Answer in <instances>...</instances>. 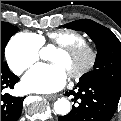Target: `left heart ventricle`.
<instances>
[{"label": "left heart ventricle", "mask_w": 121, "mask_h": 121, "mask_svg": "<svg viewBox=\"0 0 121 121\" xmlns=\"http://www.w3.org/2000/svg\"><path fill=\"white\" fill-rule=\"evenodd\" d=\"M50 61L53 64L61 67L67 75L73 70L77 69L83 63V61L73 59L58 50H55L51 54Z\"/></svg>", "instance_id": "left-heart-ventricle-1"}]
</instances>
